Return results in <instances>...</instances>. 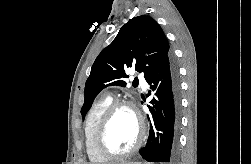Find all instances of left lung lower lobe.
<instances>
[{
    "label": "left lung lower lobe",
    "instance_id": "left-lung-lower-lobe-1",
    "mask_svg": "<svg viewBox=\"0 0 251 164\" xmlns=\"http://www.w3.org/2000/svg\"><path fill=\"white\" fill-rule=\"evenodd\" d=\"M151 86L150 130L146 145L139 151L148 162L175 163L180 124V83L171 54L147 77Z\"/></svg>",
    "mask_w": 251,
    "mask_h": 164
}]
</instances>
